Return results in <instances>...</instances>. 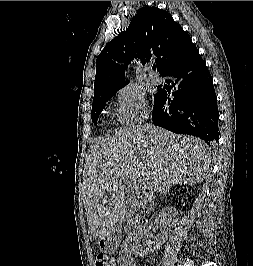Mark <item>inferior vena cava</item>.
Returning <instances> with one entry per match:
<instances>
[{
  "label": "inferior vena cava",
  "mask_w": 253,
  "mask_h": 266,
  "mask_svg": "<svg viewBox=\"0 0 253 266\" xmlns=\"http://www.w3.org/2000/svg\"><path fill=\"white\" fill-rule=\"evenodd\" d=\"M145 118H148L147 116H145ZM155 192L154 188H148V193L146 194V197L148 198V200L153 199V194ZM147 201V200H146Z\"/></svg>",
  "instance_id": "inferior-vena-cava-1"
}]
</instances>
